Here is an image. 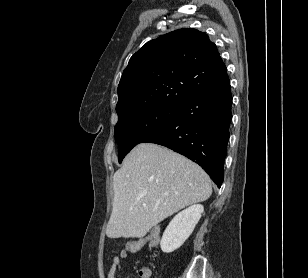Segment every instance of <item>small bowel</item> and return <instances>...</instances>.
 <instances>
[{
    "mask_svg": "<svg viewBox=\"0 0 308 278\" xmlns=\"http://www.w3.org/2000/svg\"><path fill=\"white\" fill-rule=\"evenodd\" d=\"M142 248V247H141ZM127 250H120L119 253L113 258L112 266L108 273V278H117V274L121 268V260L127 258ZM140 278H150L151 270L147 267H143L139 270Z\"/></svg>",
    "mask_w": 308,
    "mask_h": 278,
    "instance_id": "small-bowel-1",
    "label": "small bowel"
}]
</instances>
